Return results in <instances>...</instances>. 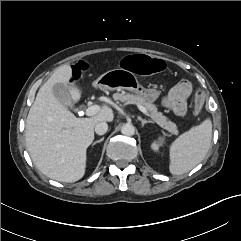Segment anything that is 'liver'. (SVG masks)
<instances>
[{"mask_svg":"<svg viewBox=\"0 0 241 241\" xmlns=\"http://www.w3.org/2000/svg\"><path fill=\"white\" fill-rule=\"evenodd\" d=\"M70 65L58 67L39 89L31 106L25 128L27 150L35 166L47 177L60 182H76L86 170V151L94 140V127L112 122L113 110L103 105L90 118H76L55 97L53 86L65 85L77 102L82 91L70 83Z\"/></svg>","mask_w":241,"mask_h":241,"instance_id":"liver-1","label":"liver"}]
</instances>
